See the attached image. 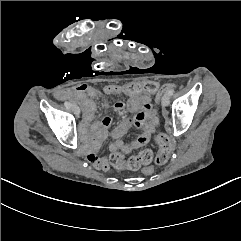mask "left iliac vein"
<instances>
[{"label":"left iliac vein","mask_w":241,"mask_h":241,"mask_svg":"<svg viewBox=\"0 0 241 241\" xmlns=\"http://www.w3.org/2000/svg\"><path fill=\"white\" fill-rule=\"evenodd\" d=\"M169 104H170V97L168 94H164L162 97V105L166 107Z\"/></svg>","instance_id":"4c4485c4"}]
</instances>
